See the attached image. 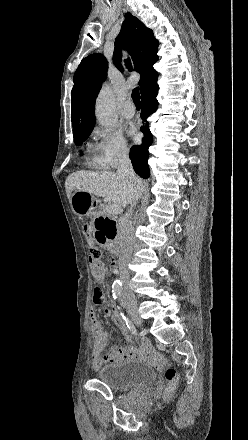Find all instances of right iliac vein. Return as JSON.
Instances as JSON below:
<instances>
[{"label":"right iliac vein","mask_w":248,"mask_h":440,"mask_svg":"<svg viewBox=\"0 0 248 440\" xmlns=\"http://www.w3.org/2000/svg\"><path fill=\"white\" fill-rule=\"evenodd\" d=\"M124 305L129 310L132 318L138 323L141 324V319L137 310V301L134 296H128L124 299Z\"/></svg>","instance_id":"obj_1"}]
</instances>
